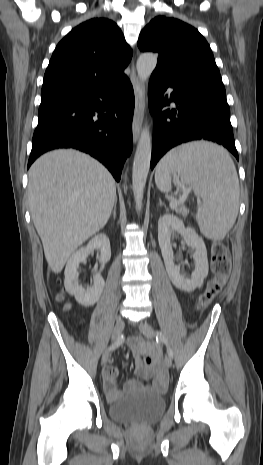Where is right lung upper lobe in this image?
I'll return each instance as SVG.
<instances>
[{
	"label": "right lung upper lobe",
	"instance_id": "obj_1",
	"mask_svg": "<svg viewBox=\"0 0 263 465\" xmlns=\"http://www.w3.org/2000/svg\"><path fill=\"white\" fill-rule=\"evenodd\" d=\"M132 57L118 26L93 18L72 29L57 45L44 75L41 101L117 83Z\"/></svg>",
	"mask_w": 263,
	"mask_h": 465
}]
</instances>
